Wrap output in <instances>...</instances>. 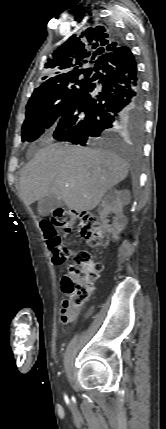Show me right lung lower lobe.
I'll return each instance as SVG.
<instances>
[{
	"instance_id": "1",
	"label": "right lung lower lobe",
	"mask_w": 166,
	"mask_h": 429,
	"mask_svg": "<svg viewBox=\"0 0 166 429\" xmlns=\"http://www.w3.org/2000/svg\"><path fill=\"white\" fill-rule=\"evenodd\" d=\"M92 78L76 93L55 125L53 137L74 144H97L109 133L143 130L144 108L137 64L120 46L100 56ZM98 80V82H95Z\"/></svg>"
}]
</instances>
